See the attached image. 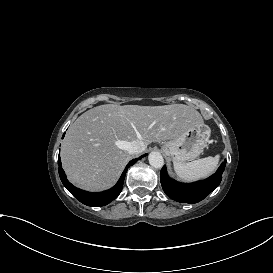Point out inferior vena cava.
Masks as SVG:
<instances>
[{
	"instance_id": "1",
	"label": "inferior vena cava",
	"mask_w": 273,
	"mask_h": 273,
	"mask_svg": "<svg viewBox=\"0 0 273 273\" xmlns=\"http://www.w3.org/2000/svg\"><path fill=\"white\" fill-rule=\"evenodd\" d=\"M145 145L141 140H134L127 145V152L129 154H139L145 150Z\"/></svg>"
}]
</instances>
